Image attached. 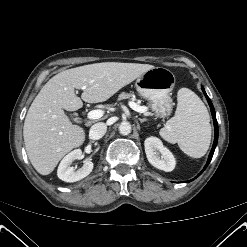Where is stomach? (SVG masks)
Wrapping results in <instances>:
<instances>
[{
  "instance_id": "0dacf381",
  "label": "stomach",
  "mask_w": 247,
  "mask_h": 247,
  "mask_svg": "<svg viewBox=\"0 0 247 247\" xmlns=\"http://www.w3.org/2000/svg\"><path fill=\"white\" fill-rule=\"evenodd\" d=\"M174 74L163 67H154L143 73L135 83L138 93L149 101L157 117L170 115L173 107L171 91L175 86Z\"/></svg>"
}]
</instances>
